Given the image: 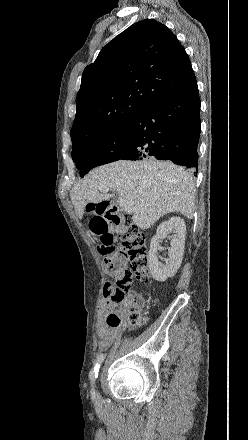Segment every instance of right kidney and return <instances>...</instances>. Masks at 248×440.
Segmentation results:
<instances>
[{
    "label": "right kidney",
    "instance_id": "ca27d5eb",
    "mask_svg": "<svg viewBox=\"0 0 248 440\" xmlns=\"http://www.w3.org/2000/svg\"><path fill=\"white\" fill-rule=\"evenodd\" d=\"M170 233L172 236L171 248L168 249L169 258L163 264L158 260V250L160 249L161 240L167 238ZM185 235L186 225L180 217H171L157 227L156 235L151 239L148 254L149 272L155 280L164 282L176 274L182 262Z\"/></svg>",
    "mask_w": 248,
    "mask_h": 440
}]
</instances>
